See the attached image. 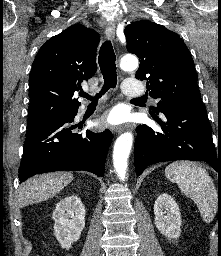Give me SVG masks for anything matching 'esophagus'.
I'll list each match as a JSON object with an SVG mask.
<instances>
[{
    "label": "esophagus",
    "instance_id": "obj_1",
    "mask_svg": "<svg viewBox=\"0 0 221 256\" xmlns=\"http://www.w3.org/2000/svg\"><path fill=\"white\" fill-rule=\"evenodd\" d=\"M105 33L108 39L114 40L115 39V25L112 22H109L106 26ZM133 124H127L124 126H118L114 128L116 133H121L125 129H133Z\"/></svg>",
    "mask_w": 221,
    "mask_h": 256
}]
</instances>
